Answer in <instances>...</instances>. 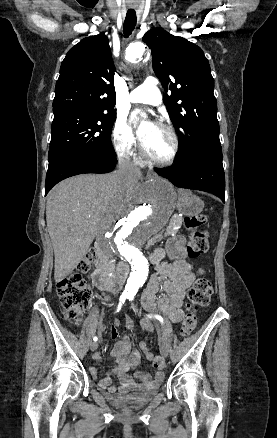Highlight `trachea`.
<instances>
[{
    "label": "trachea",
    "mask_w": 277,
    "mask_h": 438,
    "mask_svg": "<svg viewBox=\"0 0 277 438\" xmlns=\"http://www.w3.org/2000/svg\"><path fill=\"white\" fill-rule=\"evenodd\" d=\"M137 22L136 12L134 8H129L123 25L124 37L128 38L133 32Z\"/></svg>",
    "instance_id": "3493384b"
}]
</instances>
